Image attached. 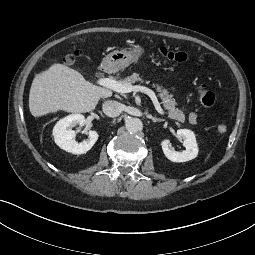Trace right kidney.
<instances>
[{
	"mask_svg": "<svg viewBox=\"0 0 255 255\" xmlns=\"http://www.w3.org/2000/svg\"><path fill=\"white\" fill-rule=\"evenodd\" d=\"M85 125V118L81 114H72L59 120L53 128V136L55 143L63 150L72 154H84L89 151L98 140L96 131H89L88 138L82 143H77L74 138L76 132L72 127Z\"/></svg>",
	"mask_w": 255,
	"mask_h": 255,
	"instance_id": "ca27d5eb",
	"label": "right kidney"
}]
</instances>
